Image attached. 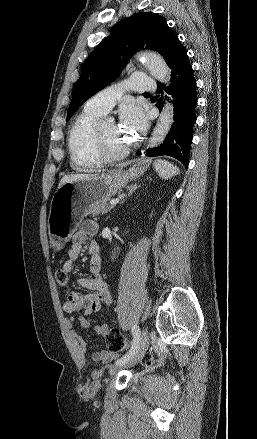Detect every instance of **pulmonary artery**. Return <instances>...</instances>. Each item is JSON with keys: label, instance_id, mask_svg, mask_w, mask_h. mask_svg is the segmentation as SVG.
I'll return each instance as SVG.
<instances>
[{"label": "pulmonary artery", "instance_id": "1", "mask_svg": "<svg viewBox=\"0 0 257 439\" xmlns=\"http://www.w3.org/2000/svg\"><path fill=\"white\" fill-rule=\"evenodd\" d=\"M127 86L137 93H150L156 90V81L145 73L137 72L128 77ZM122 90L119 87H107L92 96L85 104V109L101 114L108 113L120 99Z\"/></svg>", "mask_w": 257, "mask_h": 439}]
</instances>
